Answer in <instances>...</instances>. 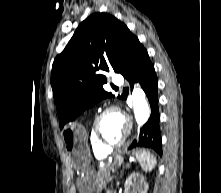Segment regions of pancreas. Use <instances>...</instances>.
<instances>
[{"instance_id":"pancreas-1","label":"pancreas","mask_w":221,"mask_h":193,"mask_svg":"<svg viewBox=\"0 0 221 193\" xmlns=\"http://www.w3.org/2000/svg\"><path fill=\"white\" fill-rule=\"evenodd\" d=\"M111 171L114 172V167L106 164L103 167L99 168L97 177H96V187L98 191L104 189L112 179Z\"/></svg>"}]
</instances>
